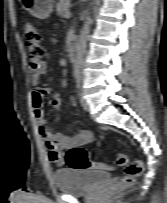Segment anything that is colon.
Listing matches in <instances>:
<instances>
[{"label":"colon","instance_id":"5ec220e1","mask_svg":"<svg viewBox=\"0 0 167 203\" xmlns=\"http://www.w3.org/2000/svg\"><path fill=\"white\" fill-rule=\"evenodd\" d=\"M23 29L30 65L37 67L45 54L44 48L40 45L41 36L38 27L34 22L27 21L24 23ZM117 160L120 165L125 166V172L117 183L108 187L109 194H115L131 187L135 177L143 171V161L140 159L128 162L124 155H119ZM65 162L75 170L101 169L103 167V164L91 161L87 151L81 146L69 149L65 155Z\"/></svg>","mask_w":167,"mask_h":203}]
</instances>
